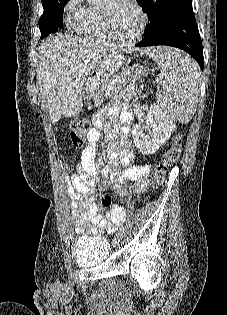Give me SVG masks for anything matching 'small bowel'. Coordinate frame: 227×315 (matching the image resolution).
Returning a JSON list of instances; mask_svg holds the SVG:
<instances>
[{"label": "small bowel", "mask_w": 227, "mask_h": 315, "mask_svg": "<svg viewBox=\"0 0 227 315\" xmlns=\"http://www.w3.org/2000/svg\"><path fill=\"white\" fill-rule=\"evenodd\" d=\"M133 90L134 85H130L127 93H132ZM98 140L99 130L96 126L89 131L86 146L76 165V172L63 177L65 189L71 199L70 214L77 234H112L126 222L123 206H115L111 210L102 212L95 203V187L100 177L105 183H111L115 192L121 197L132 193H143L149 188L150 168L134 162L133 149L127 139L109 147L108 162L98 170L95 164ZM121 165L125 168L121 169ZM125 181L134 182L133 187L125 188L123 186Z\"/></svg>", "instance_id": "obj_1"}]
</instances>
